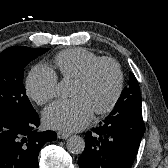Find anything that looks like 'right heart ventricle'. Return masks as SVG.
Instances as JSON below:
<instances>
[{
    "label": "right heart ventricle",
    "instance_id": "e07e8e85",
    "mask_svg": "<svg viewBox=\"0 0 168 168\" xmlns=\"http://www.w3.org/2000/svg\"><path fill=\"white\" fill-rule=\"evenodd\" d=\"M99 56L86 48H70L59 52L54 59L61 75L76 79Z\"/></svg>",
    "mask_w": 168,
    "mask_h": 168
}]
</instances>
